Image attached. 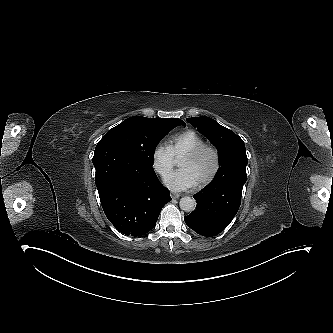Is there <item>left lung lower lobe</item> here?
Listing matches in <instances>:
<instances>
[{"instance_id": "1", "label": "left lung lower lobe", "mask_w": 333, "mask_h": 333, "mask_svg": "<svg viewBox=\"0 0 333 333\" xmlns=\"http://www.w3.org/2000/svg\"><path fill=\"white\" fill-rule=\"evenodd\" d=\"M245 182L246 179H239L226 184L220 180H213L194 196L197 209L184 216L189 228L206 237L222 232L231 223L240 207Z\"/></svg>"}]
</instances>
